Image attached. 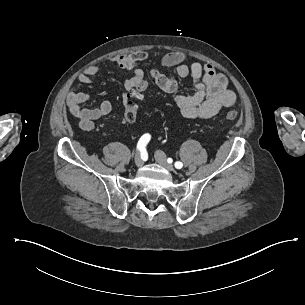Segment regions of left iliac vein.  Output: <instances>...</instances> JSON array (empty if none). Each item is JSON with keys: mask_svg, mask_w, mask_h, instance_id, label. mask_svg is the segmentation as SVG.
Returning <instances> with one entry per match:
<instances>
[{"mask_svg": "<svg viewBox=\"0 0 305 305\" xmlns=\"http://www.w3.org/2000/svg\"><path fill=\"white\" fill-rule=\"evenodd\" d=\"M155 159L166 170H168V171H173L174 170V166L167 162L166 155H165L164 152H162V151L156 152L155 153Z\"/></svg>", "mask_w": 305, "mask_h": 305, "instance_id": "left-iliac-vein-1", "label": "left iliac vein"}]
</instances>
